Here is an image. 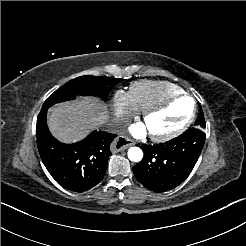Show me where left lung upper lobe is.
<instances>
[{
	"label": "left lung upper lobe",
	"mask_w": 246,
	"mask_h": 246,
	"mask_svg": "<svg viewBox=\"0 0 246 246\" xmlns=\"http://www.w3.org/2000/svg\"><path fill=\"white\" fill-rule=\"evenodd\" d=\"M194 127H197L201 130H204V128L206 127V123H205V119H204V115H203V111L201 109V106L199 107V115L197 117V120L194 123Z\"/></svg>",
	"instance_id": "obj_1"
}]
</instances>
